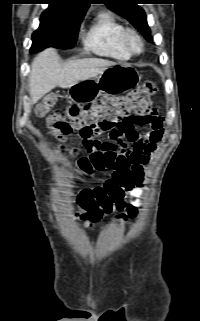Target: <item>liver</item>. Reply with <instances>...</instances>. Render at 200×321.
Returning a JSON list of instances; mask_svg holds the SVG:
<instances>
[{
	"label": "liver",
	"instance_id": "1",
	"mask_svg": "<svg viewBox=\"0 0 200 321\" xmlns=\"http://www.w3.org/2000/svg\"><path fill=\"white\" fill-rule=\"evenodd\" d=\"M115 63L100 58H85L62 64L54 49L39 53L31 64L29 93L33 103L59 86L70 88L80 81L95 78Z\"/></svg>",
	"mask_w": 200,
	"mask_h": 321
}]
</instances>
